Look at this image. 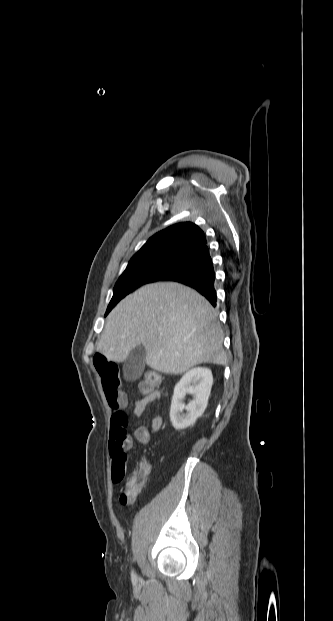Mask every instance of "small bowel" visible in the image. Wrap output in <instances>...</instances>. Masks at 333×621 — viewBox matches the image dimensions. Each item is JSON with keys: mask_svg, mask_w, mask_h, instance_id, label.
Masks as SVG:
<instances>
[{"mask_svg": "<svg viewBox=\"0 0 333 621\" xmlns=\"http://www.w3.org/2000/svg\"><path fill=\"white\" fill-rule=\"evenodd\" d=\"M93 364L100 377L106 401L111 409L109 453L112 468L115 465L126 468L127 453L132 447L133 439L127 432L128 420L124 409L128 402L120 387L119 367L115 361L110 360L102 353L94 355ZM138 389L143 397L135 402L133 412L136 416H141L149 404L159 401L161 394L146 380L139 383ZM162 424V417L156 415L149 428L141 426L135 429L134 439L141 444H147L151 435L156 433Z\"/></svg>", "mask_w": 333, "mask_h": 621, "instance_id": "obj_1", "label": "small bowel"}]
</instances>
